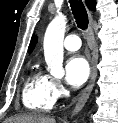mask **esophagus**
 Listing matches in <instances>:
<instances>
[{"label": "esophagus", "mask_w": 118, "mask_h": 123, "mask_svg": "<svg viewBox=\"0 0 118 123\" xmlns=\"http://www.w3.org/2000/svg\"><path fill=\"white\" fill-rule=\"evenodd\" d=\"M90 22L92 23V15L90 14ZM92 27L90 28V34L92 35ZM96 64H97V53L94 50L93 51V56H92V61H91V74H90V79L88 82V85L85 87V89H83L79 95L77 96V102L76 105L74 107L72 116H75L76 114H78L80 112V110L83 108V106L85 105V103L87 102L94 84H95V80L97 77V68H96Z\"/></svg>", "instance_id": "obj_1"}]
</instances>
